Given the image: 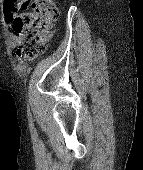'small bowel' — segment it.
I'll return each instance as SVG.
<instances>
[{
  "mask_svg": "<svg viewBox=\"0 0 143 170\" xmlns=\"http://www.w3.org/2000/svg\"><path fill=\"white\" fill-rule=\"evenodd\" d=\"M30 1L29 0H14L12 4V8L14 13H17L18 10H27L29 7ZM8 36L12 46H17L20 39L21 33L13 32L11 28L8 29Z\"/></svg>",
  "mask_w": 143,
  "mask_h": 170,
  "instance_id": "small-bowel-1",
  "label": "small bowel"
}]
</instances>
